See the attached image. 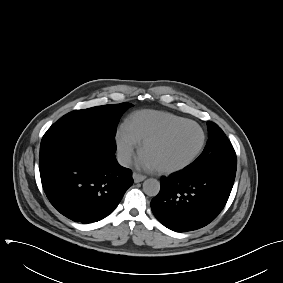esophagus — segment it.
Returning a JSON list of instances; mask_svg holds the SVG:
<instances>
[{"label":"esophagus","mask_w":283,"mask_h":283,"mask_svg":"<svg viewBox=\"0 0 283 283\" xmlns=\"http://www.w3.org/2000/svg\"><path fill=\"white\" fill-rule=\"evenodd\" d=\"M133 179H134V182H135V183H139V182L144 181V180L146 179V176L134 172V173H133Z\"/></svg>","instance_id":"34e87169"}]
</instances>
